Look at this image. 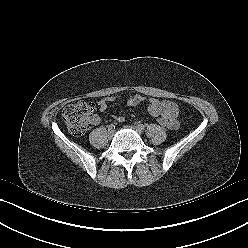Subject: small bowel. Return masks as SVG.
Returning a JSON list of instances; mask_svg holds the SVG:
<instances>
[{
	"mask_svg": "<svg viewBox=\"0 0 248 248\" xmlns=\"http://www.w3.org/2000/svg\"><path fill=\"white\" fill-rule=\"evenodd\" d=\"M118 96L109 95L98 101V106L100 111L106 112L108 108V103L116 100ZM125 102L128 106H139L142 103L147 104V112L154 117H164L169 121L168 128L174 129L178 126L177 115L178 107L175 103L171 101H159L154 98H146L142 95H129L125 98ZM119 122L124 121L123 117L117 118ZM93 124H98L100 119L98 116L94 115L91 119Z\"/></svg>",
	"mask_w": 248,
	"mask_h": 248,
	"instance_id": "obj_1",
	"label": "small bowel"
}]
</instances>
